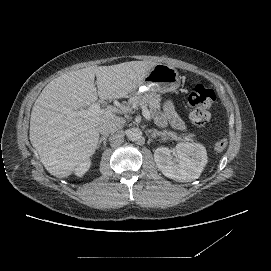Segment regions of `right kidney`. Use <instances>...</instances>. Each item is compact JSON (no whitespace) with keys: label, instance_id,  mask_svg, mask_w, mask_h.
Segmentation results:
<instances>
[{"label":"right kidney","instance_id":"ca27d5eb","mask_svg":"<svg viewBox=\"0 0 271 271\" xmlns=\"http://www.w3.org/2000/svg\"><path fill=\"white\" fill-rule=\"evenodd\" d=\"M90 161H84L82 164L77 166V174H84L89 168Z\"/></svg>","mask_w":271,"mask_h":271}]
</instances>
